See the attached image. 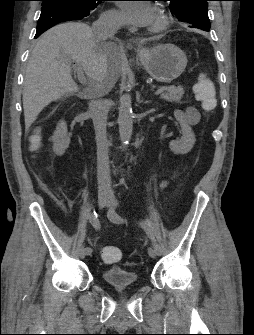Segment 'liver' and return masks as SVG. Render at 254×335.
I'll list each match as a JSON object with an SVG mask.
<instances>
[{
  "mask_svg": "<svg viewBox=\"0 0 254 335\" xmlns=\"http://www.w3.org/2000/svg\"><path fill=\"white\" fill-rule=\"evenodd\" d=\"M72 61L81 64L89 79L87 91L95 94L115 86L125 56L116 42L98 39L84 23H62L46 31L35 44L24 78L26 128L51 102L66 95L81 94L72 79Z\"/></svg>",
  "mask_w": 254,
  "mask_h": 335,
  "instance_id": "liver-1",
  "label": "liver"
}]
</instances>
